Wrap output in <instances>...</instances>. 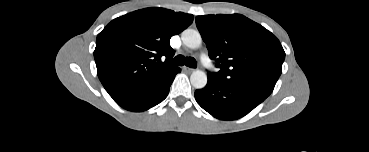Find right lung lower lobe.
I'll list each match as a JSON object with an SVG mask.
<instances>
[{
    "label": "right lung lower lobe",
    "mask_w": 369,
    "mask_h": 152,
    "mask_svg": "<svg viewBox=\"0 0 369 152\" xmlns=\"http://www.w3.org/2000/svg\"><path fill=\"white\" fill-rule=\"evenodd\" d=\"M180 71L181 69L176 67L164 76L134 88L124 94L113 97V99L126 110L133 112L145 111L159 104L167 97L170 85L175 75Z\"/></svg>",
    "instance_id": "98d812e1"
}]
</instances>
